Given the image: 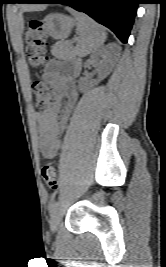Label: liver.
<instances>
[{
	"label": "liver",
	"instance_id": "6515ba94",
	"mask_svg": "<svg viewBox=\"0 0 166 267\" xmlns=\"http://www.w3.org/2000/svg\"><path fill=\"white\" fill-rule=\"evenodd\" d=\"M38 7H36V6H27V7H25L24 8V10H35V9H37ZM44 8V7H43ZM22 15V12L20 13V16Z\"/></svg>",
	"mask_w": 166,
	"mask_h": 267
}]
</instances>
